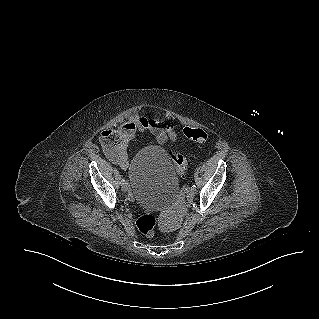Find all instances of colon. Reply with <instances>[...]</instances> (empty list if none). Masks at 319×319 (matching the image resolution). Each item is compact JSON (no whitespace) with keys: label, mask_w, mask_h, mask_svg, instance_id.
<instances>
[{"label":"colon","mask_w":319,"mask_h":319,"mask_svg":"<svg viewBox=\"0 0 319 319\" xmlns=\"http://www.w3.org/2000/svg\"><path fill=\"white\" fill-rule=\"evenodd\" d=\"M179 132L186 138L198 143H207L210 140V133L202 128H197L191 121L182 122L179 125ZM170 156L175 165L177 174L180 177H183L188 171V162L186 158L178 152H171ZM157 222V218L154 215L144 213L138 217L136 226L142 234L153 236Z\"/></svg>","instance_id":"1"}]
</instances>
